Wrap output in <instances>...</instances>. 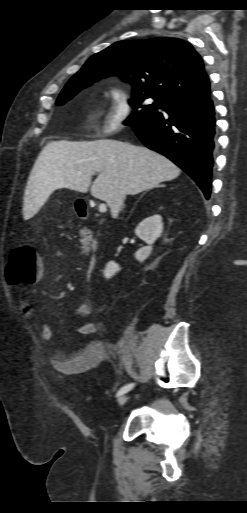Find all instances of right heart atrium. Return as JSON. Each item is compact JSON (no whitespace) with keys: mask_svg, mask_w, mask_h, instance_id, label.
<instances>
[{"mask_svg":"<svg viewBox=\"0 0 247 513\" xmlns=\"http://www.w3.org/2000/svg\"><path fill=\"white\" fill-rule=\"evenodd\" d=\"M131 114L129 94L121 87H112L109 92V103L101 121V132L111 136L125 126Z\"/></svg>","mask_w":247,"mask_h":513,"instance_id":"1","label":"right heart atrium"}]
</instances>
